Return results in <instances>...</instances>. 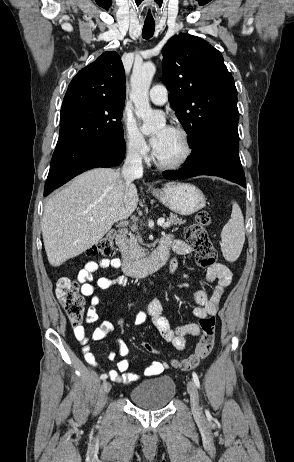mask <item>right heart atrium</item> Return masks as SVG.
<instances>
[{"label":"right heart atrium","instance_id":"d8ad5b80","mask_svg":"<svg viewBox=\"0 0 294 462\" xmlns=\"http://www.w3.org/2000/svg\"><path fill=\"white\" fill-rule=\"evenodd\" d=\"M121 126L128 153L140 160H146L149 156V146L132 115L124 111L121 115Z\"/></svg>","mask_w":294,"mask_h":462}]
</instances>
